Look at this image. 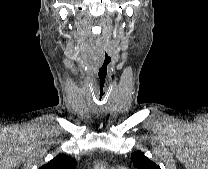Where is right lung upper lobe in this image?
<instances>
[{"label": "right lung upper lobe", "instance_id": "cb5924a9", "mask_svg": "<svg viewBox=\"0 0 208 169\" xmlns=\"http://www.w3.org/2000/svg\"><path fill=\"white\" fill-rule=\"evenodd\" d=\"M76 160L68 155L60 154L39 169H74Z\"/></svg>", "mask_w": 208, "mask_h": 169}]
</instances>
